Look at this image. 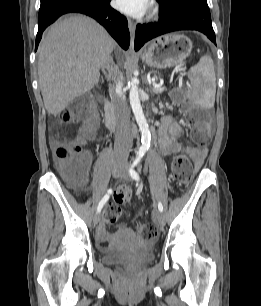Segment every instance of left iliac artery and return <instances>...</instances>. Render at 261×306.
Here are the masks:
<instances>
[{
	"label": "left iliac artery",
	"mask_w": 261,
	"mask_h": 306,
	"mask_svg": "<svg viewBox=\"0 0 261 306\" xmlns=\"http://www.w3.org/2000/svg\"><path fill=\"white\" fill-rule=\"evenodd\" d=\"M139 161H140V158H137V159L133 162V164H132V166H131V168H130V170H129L130 176L132 177V179H134V180H136V181H140V176H139L138 173L135 171L134 167L139 163ZM158 209H159L160 212L163 211V205H162L161 202H158Z\"/></svg>",
	"instance_id": "obj_1"
}]
</instances>
